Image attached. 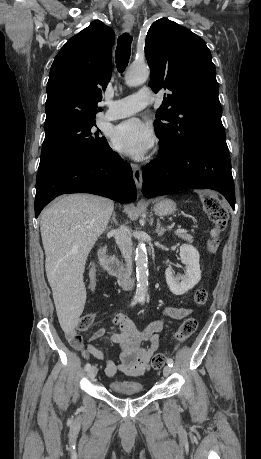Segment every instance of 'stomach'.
<instances>
[{"label": "stomach", "instance_id": "stomach-1", "mask_svg": "<svg viewBox=\"0 0 261 459\" xmlns=\"http://www.w3.org/2000/svg\"><path fill=\"white\" fill-rule=\"evenodd\" d=\"M153 209L158 216H168L176 211V203L170 199L158 200Z\"/></svg>", "mask_w": 261, "mask_h": 459}]
</instances>
